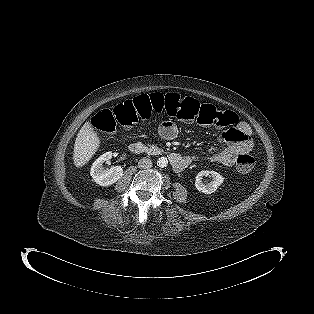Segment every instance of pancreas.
Listing matches in <instances>:
<instances>
[{"mask_svg": "<svg viewBox=\"0 0 314 314\" xmlns=\"http://www.w3.org/2000/svg\"><path fill=\"white\" fill-rule=\"evenodd\" d=\"M147 152L152 155L161 154L163 149L159 148L156 145H149L147 148Z\"/></svg>", "mask_w": 314, "mask_h": 314, "instance_id": "cf45deb5", "label": "pancreas"}]
</instances>
